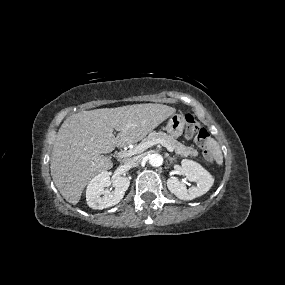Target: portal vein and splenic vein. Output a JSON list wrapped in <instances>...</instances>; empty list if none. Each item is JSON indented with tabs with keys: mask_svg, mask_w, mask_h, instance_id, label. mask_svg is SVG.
Masks as SVG:
<instances>
[{
	"mask_svg": "<svg viewBox=\"0 0 285 285\" xmlns=\"http://www.w3.org/2000/svg\"><path fill=\"white\" fill-rule=\"evenodd\" d=\"M156 144L163 145L164 147H166V149L169 152H173L174 151V149L171 146H169L164 140H162V139H154V140L149 141V142L141 143L137 147V149L119 152L118 156L120 158L129 157V156H132L134 154H137L138 152H143L147 148L152 147V146H154Z\"/></svg>",
	"mask_w": 285,
	"mask_h": 285,
	"instance_id": "portal-vein-and-splenic-vein-1",
	"label": "portal vein and splenic vein"
}]
</instances>
